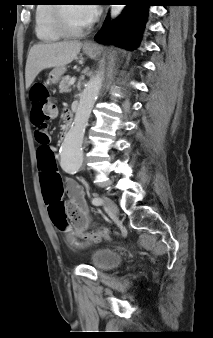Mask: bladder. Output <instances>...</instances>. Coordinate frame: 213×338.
<instances>
[{
	"label": "bladder",
	"mask_w": 213,
	"mask_h": 338,
	"mask_svg": "<svg viewBox=\"0 0 213 338\" xmlns=\"http://www.w3.org/2000/svg\"><path fill=\"white\" fill-rule=\"evenodd\" d=\"M92 266L100 272H105L119 266L122 255L113 249L102 248L92 254Z\"/></svg>",
	"instance_id": "obj_1"
}]
</instances>
